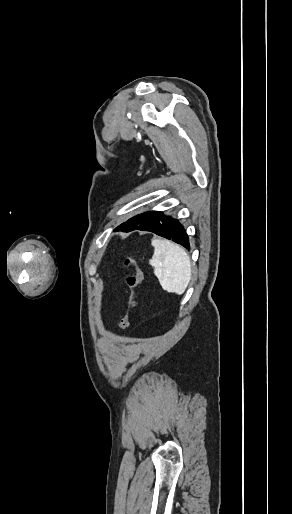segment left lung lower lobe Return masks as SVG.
Listing matches in <instances>:
<instances>
[{
  "label": "left lung lower lobe",
  "instance_id": "left-lung-lower-lobe-1",
  "mask_svg": "<svg viewBox=\"0 0 292 514\" xmlns=\"http://www.w3.org/2000/svg\"><path fill=\"white\" fill-rule=\"evenodd\" d=\"M144 231L153 232L159 236L173 240L187 249L190 248L189 237L186 234L184 227L178 220L173 219L170 216H165L163 213H161L156 221Z\"/></svg>",
  "mask_w": 292,
  "mask_h": 514
}]
</instances>
